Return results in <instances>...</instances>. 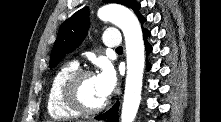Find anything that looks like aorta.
Returning a JSON list of instances; mask_svg holds the SVG:
<instances>
[{
  "mask_svg": "<svg viewBox=\"0 0 221 122\" xmlns=\"http://www.w3.org/2000/svg\"><path fill=\"white\" fill-rule=\"evenodd\" d=\"M98 17L118 26L124 34L127 56V75L121 122H133L141 100L144 71V43L139 21L128 8L108 4L98 10Z\"/></svg>",
  "mask_w": 221,
  "mask_h": 122,
  "instance_id": "obj_1",
  "label": "aorta"
}]
</instances>
